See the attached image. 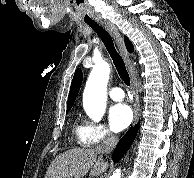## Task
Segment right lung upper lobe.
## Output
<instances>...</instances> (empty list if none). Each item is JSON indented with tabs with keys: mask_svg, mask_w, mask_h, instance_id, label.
<instances>
[{
	"mask_svg": "<svg viewBox=\"0 0 194 178\" xmlns=\"http://www.w3.org/2000/svg\"><path fill=\"white\" fill-rule=\"evenodd\" d=\"M124 40H125V45L128 51L133 52L134 47L132 43L130 42V40L126 36L124 37ZM82 78H83V75H82L81 69H76L72 83H71L69 96H68L67 111H69L74 104V101L76 99V96L79 92V89L82 83Z\"/></svg>",
	"mask_w": 194,
	"mask_h": 178,
	"instance_id": "cb5924a9",
	"label": "right lung upper lobe"
}]
</instances>
